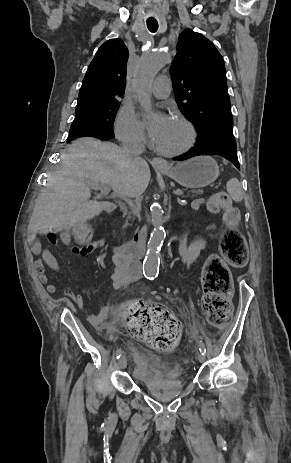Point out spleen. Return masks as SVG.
<instances>
[{
    "label": "spleen",
    "instance_id": "1",
    "mask_svg": "<svg viewBox=\"0 0 291 463\" xmlns=\"http://www.w3.org/2000/svg\"><path fill=\"white\" fill-rule=\"evenodd\" d=\"M226 188H227L229 195L235 202H241L243 200L244 193H243L242 186L240 182L238 181V179L236 178L230 179L226 184Z\"/></svg>",
    "mask_w": 291,
    "mask_h": 463
}]
</instances>
